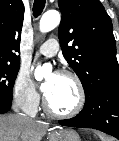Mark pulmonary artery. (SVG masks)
Instances as JSON below:
<instances>
[{
  "instance_id": "1",
  "label": "pulmonary artery",
  "mask_w": 119,
  "mask_h": 141,
  "mask_svg": "<svg viewBox=\"0 0 119 141\" xmlns=\"http://www.w3.org/2000/svg\"><path fill=\"white\" fill-rule=\"evenodd\" d=\"M59 51V43L56 39L50 38L39 48V52L46 57H53Z\"/></svg>"
}]
</instances>
